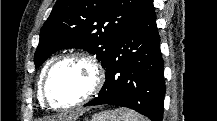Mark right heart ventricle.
<instances>
[{
  "label": "right heart ventricle",
  "instance_id": "1",
  "mask_svg": "<svg viewBox=\"0 0 217 121\" xmlns=\"http://www.w3.org/2000/svg\"><path fill=\"white\" fill-rule=\"evenodd\" d=\"M55 60H56V57H53V58L49 59L48 62L45 64V66H44V68H43V70H42V73H41V75H40L39 84L42 83V80H43V78H44V76H45V74H46L48 68L50 67V65H51ZM39 101H40L41 103H44V99H43V96H42L41 94H39Z\"/></svg>",
  "mask_w": 217,
  "mask_h": 121
}]
</instances>
